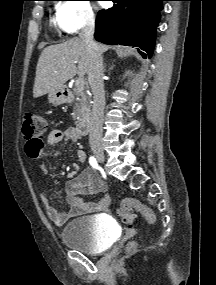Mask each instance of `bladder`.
Segmentation results:
<instances>
[{
	"label": "bladder",
	"instance_id": "obj_1",
	"mask_svg": "<svg viewBox=\"0 0 216 285\" xmlns=\"http://www.w3.org/2000/svg\"><path fill=\"white\" fill-rule=\"evenodd\" d=\"M116 238V226L101 216L75 218L61 231V240L65 246L86 254L106 251Z\"/></svg>",
	"mask_w": 216,
	"mask_h": 285
}]
</instances>
